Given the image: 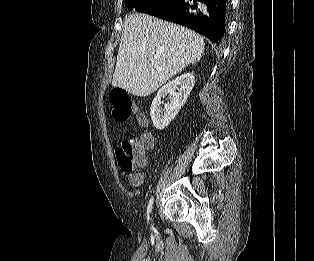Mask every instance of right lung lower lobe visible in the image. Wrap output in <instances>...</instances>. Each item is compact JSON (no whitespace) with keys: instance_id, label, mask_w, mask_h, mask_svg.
<instances>
[{"instance_id":"right-lung-lower-lobe-1","label":"right lung lower lobe","mask_w":314,"mask_h":261,"mask_svg":"<svg viewBox=\"0 0 314 261\" xmlns=\"http://www.w3.org/2000/svg\"><path fill=\"white\" fill-rule=\"evenodd\" d=\"M200 3L206 4L209 16L197 11ZM187 9L194 10L195 14H190ZM228 11L229 0H190V3L187 0H164L146 13L188 27L220 45Z\"/></svg>"}]
</instances>
